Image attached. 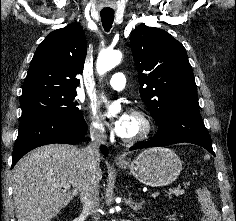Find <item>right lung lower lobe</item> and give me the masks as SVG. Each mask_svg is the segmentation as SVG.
Listing matches in <instances>:
<instances>
[{
    "label": "right lung lower lobe",
    "mask_w": 236,
    "mask_h": 221,
    "mask_svg": "<svg viewBox=\"0 0 236 221\" xmlns=\"http://www.w3.org/2000/svg\"><path fill=\"white\" fill-rule=\"evenodd\" d=\"M87 133L83 115L39 111L21 116L18 137L14 145L11 168L30 150L53 143L75 144ZM107 155V148L101 146Z\"/></svg>",
    "instance_id": "right-lung-lower-lobe-1"
}]
</instances>
